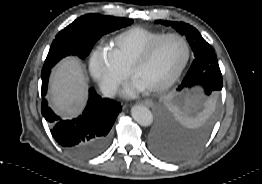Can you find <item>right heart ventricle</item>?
<instances>
[{
	"mask_svg": "<svg viewBox=\"0 0 262 184\" xmlns=\"http://www.w3.org/2000/svg\"><path fill=\"white\" fill-rule=\"evenodd\" d=\"M163 35L162 32L142 27H132L116 35L111 43L110 52L117 63L129 71L133 61L152 41Z\"/></svg>",
	"mask_w": 262,
	"mask_h": 184,
	"instance_id": "obj_1",
	"label": "right heart ventricle"
}]
</instances>
